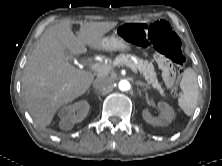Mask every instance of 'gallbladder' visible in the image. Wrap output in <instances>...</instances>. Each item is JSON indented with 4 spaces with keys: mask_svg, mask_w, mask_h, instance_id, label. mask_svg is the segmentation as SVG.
<instances>
[{
    "mask_svg": "<svg viewBox=\"0 0 222 166\" xmlns=\"http://www.w3.org/2000/svg\"><path fill=\"white\" fill-rule=\"evenodd\" d=\"M65 55L67 56L69 61H72L73 58H74L73 54L70 51H68V50L65 51Z\"/></svg>",
    "mask_w": 222,
    "mask_h": 166,
    "instance_id": "gallbladder-1",
    "label": "gallbladder"
}]
</instances>
